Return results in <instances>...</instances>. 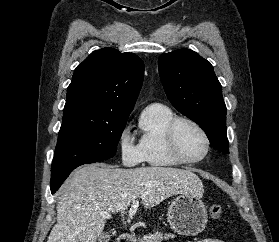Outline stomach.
Instances as JSON below:
<instances>
[{
    "instance_id": "0dacf381",
    "label": "stomach",
    "mask_w": 279,
    "mask_h": 242,
    "mask_svg": "<svg viewBox=\"0 0 279 242\" xmlns=\"http://www.w3.org/2000/svg\"><path fill=\"white\" fill-rule=\"evenodd\" d=\"M167 216L170 227L185 236L201 233L208 221L207 209L200 197L187 193L179 194L171 202Z\"/></svg>"
}]
</instances>
